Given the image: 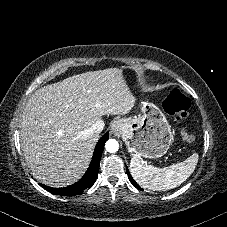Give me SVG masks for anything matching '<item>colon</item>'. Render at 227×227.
<instances>
[{
  "mask_svg": "<svg viewBox=\"0 0 227 227\" xmlns=\"http://www.w3.org/2000/svg\"><path fill=\"white\" fill-rule=\"evenodd\" d=\"M166 111L175 117V120L182 123L188 115L190 106L189 100L179 90H171L164 101ZM181 139L186 142H192L194 139L193 134L188 130L185 125H182L180 130Z\"/></svg>",
  "mask_w": 227,
  "mask_h": 227,
  "instance_id": "colon-1",
  "label": "colon"
}]
</instances>
